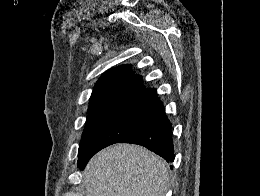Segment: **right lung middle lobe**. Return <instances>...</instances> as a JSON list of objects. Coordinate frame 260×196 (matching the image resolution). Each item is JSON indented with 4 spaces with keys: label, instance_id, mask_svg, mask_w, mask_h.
Returning a JSON list of instances; mask_svg holds the SVG:
<instances>
[{
    "label": "right lung middle lobe",
    "instance_id": "dd1d6c3e",
    "mask_svg": "<svg viewBox=\"0 0 260 196\" xmlns=\"http://www.w3.org/2000/svg\"><path fill=\"white\" fill-rule=\"evenodd\" d=\"M156 118L133 104L90 106L79 149L100 150L118 143Z\"/></svg>",
    "mask_w": 260,
    "mask_h": 196
}]
</instances>
